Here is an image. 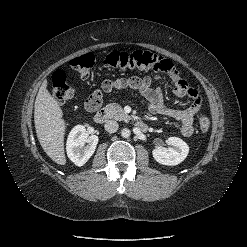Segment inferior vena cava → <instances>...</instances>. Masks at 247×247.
<instances>
[{"label": "inferior vena cava", "mask_w": 247, "mask_h": 247, "mask_svg": "<svg viewBox=\"0 0 247 247\" xmlns=\"http://www.w3.org/2000/svg\"><path fill=\"white\" fill-rule=\"evenodd\" d=\"M118 123L114 120H108L105 122L104 128L109 133H114L118 130Z\"/></svg>", "instance_id": "obj_1"}]
</instances>
